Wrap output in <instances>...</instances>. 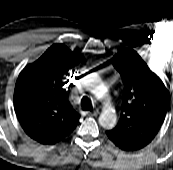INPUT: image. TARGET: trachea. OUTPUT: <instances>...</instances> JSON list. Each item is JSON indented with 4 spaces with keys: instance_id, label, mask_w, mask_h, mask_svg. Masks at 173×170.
Masks as SVG:
<instances>
[{
    "instance_id": "obj_1",
    "label": "trachea",
    "mask_w": 173,
    "mask_h": 170,
    "mask_svg": "<svg viewBox=\"0 0 173 170\" xmlns=\"http://www.w3.org/2000/svg\"><path fill=\"white\" fill-rule=\"evenodd\" d=\"M81 107L84 111H91L92 110V104L90 99L87 96H84L81 99Z\"/></svg>"
}]
</instances>
